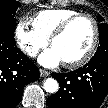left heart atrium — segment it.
Wrapping results in <instances>:
<instances>
[{
  "label": "left heart atrium",
  "mask_w": 108,
  "mask_h": 108,
  "mask_svg": "<svg viewBox=\"0 0 108 108\" xmlns=\"http://www.w3.org/2000/svg\"><path fill=\"white\" fill-rule=\"evenodd\" d=\"M39 62L46 67H55L62 62L59 53L52 47L39 57Z\"/></svg>",
  "instance_id": "39dd6f15"
}]
</instances>
